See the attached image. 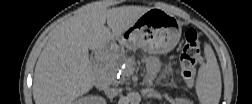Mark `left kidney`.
<instances>
[{
  "instance_id": "1",
  "label": "left kidney",
  "mask_w": 252,
  "mask_h": 104,
  "mask_svg": "<svg viewBox=\"0 0 252 104\" xmlns=\"http://www.w3.org/2000/svg\"><path fill=\"white\" fill-rule=\"evenodd\" d=\"M175 101H176L177 104H186V103H188L187 100L182 99V98H177V99H175Z\"/></svg>"
}]
</instances>
